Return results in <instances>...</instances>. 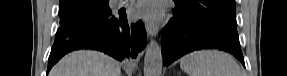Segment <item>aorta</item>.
Instances as JSON below:
<instances>
[{
  "instance_id": "762f6f07",
  "label": "aorta",
  "mask_w": 287,
  "mask_h": 76,
  "mask_svg": "<svg viewBox=\"0 0 287 76\" xmlns=\"http://www.w3.org/2000/svg\"><path fill=\"white\" fill-rule=\"evenodd\" d=\"M161 47L155 40H150L144 58V76H161L162 73Z\"/></svg>"
}]
</instances>
